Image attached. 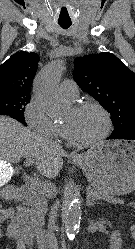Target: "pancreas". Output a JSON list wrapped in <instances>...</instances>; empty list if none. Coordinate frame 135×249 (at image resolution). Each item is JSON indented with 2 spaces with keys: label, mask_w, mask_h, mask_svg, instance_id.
I'll list each match as a JSON object with an SVG mask.
<instances>
[{
  "label": "pancreas",
  "mask_w": 135,
  "mask_h": 249,
  "mask_svg": "<svg viewBox=\"0 0 135 249\" xmlns=\"http://www.w3.org/2000/svg\"><path fill=\"white\" fill-rule=\"evenodd\" d=\"M90 194L96 200H105L112 204H123L124 201L120 198L113 197L109 194L103 193L96 189H91ZM53 193L50 189L47 192H41L34 200L26 204V207L23 208V212L26 216V219L29 221H34L38 224V219L44 215L46 209V198L51 197Z\"/></svg>",
  "instance_id": "1"
}]
</instances>
